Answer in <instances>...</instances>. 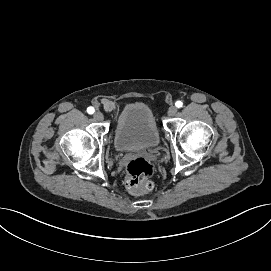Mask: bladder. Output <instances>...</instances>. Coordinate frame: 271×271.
I'll return each mask as SVG.
<instances>
[{"label":"bladder","mask_w":271,"mask_h":271,"mask_svg":"<svg viewBox=\"0 0 271 271\" xmlns=\"http://www.w3.org/2000/svg\"><path fill=\"white\" fill-rule=\"evenodd\" d=\"M159 140L153 113L147 105L134 103L121 111L113 133V144L118 151L151 149Z\"/></svg>","instance_id":"31cf9c89"}]
</instances>
